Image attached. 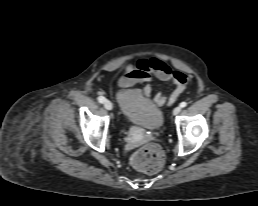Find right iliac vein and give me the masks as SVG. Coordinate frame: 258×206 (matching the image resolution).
<instances>
[{
    "mask_svg": "<svg viewBox=\"0 0 258 206\" xmlns=\"http://www.w3.org/2000/svg\"><path fill=\"white\" fill-rule=\"evenodd\" d=\"M104 107H105V109H107V110H112V109H113V104L111 103V101L106 100V101L104 102Z\"/></svg>",
    "mask_w": 258,
    "mask_h": 206,
    "instance_id": "63e3f726",
    "label": "right iliac vein"
}]
</instances>
